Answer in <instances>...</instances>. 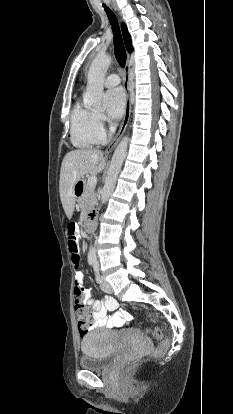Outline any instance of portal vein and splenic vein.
<instances>
[{"instance_id":"18ae733b","label":"portal vein and splenic vein","mask_w":233,"mask_h":414,"mask_svg":"<svg viewBox=\"0 0 233 414\" xmlns=\"http://www.w3.org/2000/svg\"><path fill=\"white\" fill-rule=\"evenodd\" d=\"M88 184L90 185V186H96V184H97V177L96 176H90L89 178H88Z\"/></svg>"}]
</instances>
